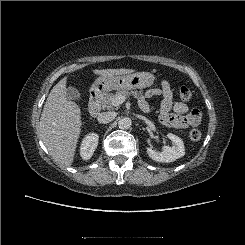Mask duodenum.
I'll use <instances>...</instances> for the list:
<instances>
[{
	"label": "duodenum",
	"instance_id": "obj_1",
	"mask_svg": "<svg viewBox=\"0 0 245 245\" xmlns=\"http://www.w3.org/2000/svg\"><path fill=\"white\" fill-rule=\"evenodd\" d=\"M100 103H101L100 92L92 91V93L90 94V100L87 107V113L92 117L97 116L100 111Z\"/></svg>",
	"mask_w": 245,
	"mask_h": 245
}]
</instances>
